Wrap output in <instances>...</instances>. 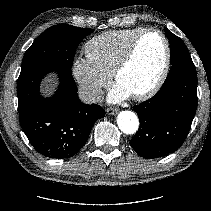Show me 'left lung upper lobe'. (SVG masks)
I'll use <instances>...</instances> for the list:
<instances>
[{
    "label": "left lung upper lobe",
    "instance_id": "5c2ea615",
    "mask_svg": "<svg viewBox=\"0 0 211 211\" xmlns=\"http://www.w3.org/2000/svg\"><path fill=\"white\" fill-rule=\"evenodd\" d=\"M165 33L170 43V63L175 62L178 58L190 56L189 51L184 42L165 28Z\"/></svg>",
    "mask_w": 211,
    "mask_h": 211
}]
</instances>
